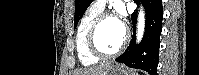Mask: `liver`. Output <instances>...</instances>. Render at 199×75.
I'll return each mask as SVG.
<instances>
[{
	"label": "liver",
	"instance_id": "1",
	"mask_svg": "<svg viewBox=\"0 0 199 75\" xmlns=\"http://www.w3.org/2000/svg\"><path fill=\"white\" fill-rule=\"evenodd\" d=\"M110 68V64L94 66L90 68H85L81 70H77L75 75H106Z\"/></svg>",
	"mask_w": 199,
	"mask_h": 75
}]
</instances>
